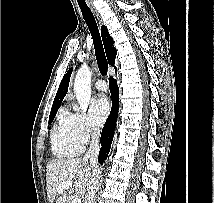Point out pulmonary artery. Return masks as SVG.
I'll list each match as a JSON object with an SVG mask.
<instances>
[{"mask_svg":"<svg viewBox=\"0 0 214 203\" xmlns=\"http://www.w3.org/2000/svg\"><path fill=\"white\" fill-rule=\"evenodd\" d=\"M95 88L98 91H106L107 90V85H106V83L103 80H97L95 82Z\"/></svg>","mask_w":214,"mask_h":203,"instance_id":"pulmonary-artery-1","label":"pulmonary artery"}]
</instances>
